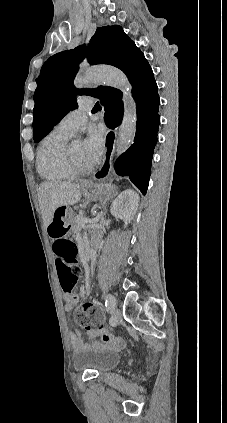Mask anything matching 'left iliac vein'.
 <instances>
[{"mask_svg":"<svg viewBox=\"0 0 227 423\" xmlns=\"http://www.w3.org/2000/svg\"><path fill=\"white\" fill-rule=\"evenodd\" d=\"M115 305H116V301L114 304H111L108 307H111V306L113 307L112 320L114 322H117L121 317V311L118 308H116ZM108 307L106 308L107 311H108Z\"/></svg>","mask_w":227,"mask_h":423,"instance_id":"obj_1","label":"left iliac vein"}]
</instances>
